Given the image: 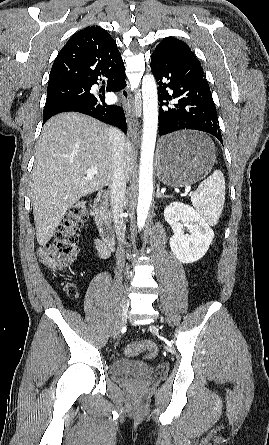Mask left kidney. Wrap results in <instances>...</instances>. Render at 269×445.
<instances>
[{"instance_id":"left-kidney-1","label":"left kidney","mask_w":269,"mask_h":445,"mask_svg":"<svg viewBox=\"0 0 269 445\" xmlns=\"http://www.w3.org/2000/svg\"><path fill=\"white\" fill-rule=\"evenodd\" d=\"M164 217L173 230L169 243L176 258L186 264L201 259L214 238L207 222L191 206L181 202L170 203L164 210ZM185 226L190 234H184Z\"/></svg>"}]
</instances>
